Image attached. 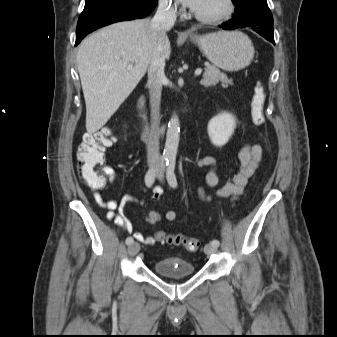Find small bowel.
I'll list each match as a JSON object with an SVG mask.
<instances>
[{
    "mask_svg": "<svg viewBox=\"0 0 337 337\" xmlns=\"http://www.w3.org/2000/svg\"><path fill=\"white\" fill-rule=\"evenodd\" d=\"M262 154V148L258 144H246L242 146L239 151L240 168L237 173L229 178L222 186H218L220 179L217 170V161L214 157H198L195 164L198 167H206L209 169L206 175V184L218 197L236 199L243 193L248 180L259 168L262 161ZM104 173L109 182L115 181L116 171L114 168L106 166L104 167ZM163 193L164 191L161 187H155L152 195L153 200L158 201L163 196ZM197 194L204 202H210L212 200L211 196L208 195L203 188H198ZM94 199L99 206L108 210L106 214L107 219L114 221L116 226L124 229L126 232H133V226L125 215V206L129 202H138L135 197L125 195L120 201L115 199L104 200L100 192L95 191ZM165 218L173 222L176 220L177 214L175 211L169 210L165 213ZM161 219V214L155 210H150L146 215L147 222L152 225L159 223ZM133 236L137 241L149 246L154 245L158 241L155 235L144 236L140 232H135Z\"/></svg>",
    "mask_w": 337,
    "mask_h": 337,
    "instance_id": "c3829d8e",
    "label": "small bowel"
}]
</instances>
